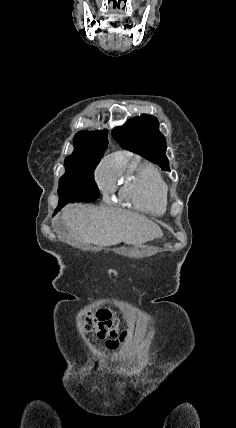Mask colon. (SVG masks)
I'll return each instance as SVG.
<instances>
[{
	"instance_id": "5ec220e1",
	"label": "colon",
	"mask_w": 236,
	"mask_h": 428,
	"mask_svg": "<svg viewBox=\"0 0 236 428\" xmlns=\"http://www.w3.org/2000/svg\"><path fill=\"white\" fill-rule=\"evenodd\" d=\"M118 323L107 310H101L96 317L85 314L83 317V329L87 332H96L100 338L115 337ZM123 336V335H122ZM110 346L113 341H108Z\"/></svg>"
}]
</instances>
